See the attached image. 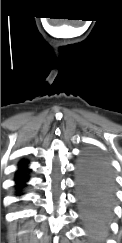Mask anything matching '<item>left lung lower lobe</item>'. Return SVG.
Listing matches in <instances>:
<instances>
[{
    "label": "left lung lower lobe",
    "mask_w": 122,
    "mask_h": 243,
    "mask_svg": "<svg viewBox=\"0 0 122 243\" xmlns=\"http://www.w3.org/2000/svg\"><path fill=\"white\" fill-rule=\"evenodd\" d=\"M76 192L82 221L92 242L105 236L114 200V177L108 161L85 152L76 170Z\"/></svg>",
    "instance_id": "left-lung-lower-lobe-1"
}]
</instances>
